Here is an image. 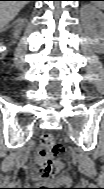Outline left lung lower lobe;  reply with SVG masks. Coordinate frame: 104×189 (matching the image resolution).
I'll use <instances>...</instances> for the list:
<instances>
[{
	"instance_id": "obj_1",
	"label": "left lung lower lobe",
	"mask_w": 104,
	"mask_h": 189,
	"mask_svg": "<svg viewBox=\"0 0 104 189\" xmlns=\"http://www.w3.org/2000/svg\"><path fill=\"white\" fill-rule=\"evenodd\" d=\"M79 1H94V0H79Z\"/></svg>"
}]
</instances>
